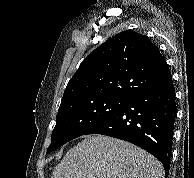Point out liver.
Returning a JSON list of instances; mask_svg holds the SVG:
<instances>
[{"label":"liver","instance_id":"6515ba94","mask_svg":"<svg viewBox=\"0 0 194 178\" xmlns=\"http://www.w3.org/2000/svg\"><path fill=\"white\" fill-rule=\"evenodd\" d=\"M52 178H164V169L155 157L131 143L89 135L67 152Z\"/></svg>","mask_w":194,"mask_h":178}]
</instances>
